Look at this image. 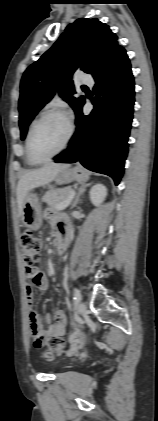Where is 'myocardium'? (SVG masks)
<instances>
[{
  "label": "myocardium",
  "mask_w": 158,
  "mask_h": 421,
  "mask_svg": "<svg viewBox=\"0 0 158 421\" xmlns=\"http://www.w3.org/2000/svg\"><path fill=\"white\" fill-rule=\"evenodd\" d=\"M50 115H60V116L64 117L67 121V124H68V133H67L65 141L63 142L61 147L55 153H53L51 156H49L45 159H38L32 151V137H33V134H34V131H35L36 127L40 124V122ZM73 134H74V125H73L72 120L70 119L69 115L65 111H63L62 109H59V108H51V109L45 110L33 122V124L31 125V127L29 129V132H28L27 152H28V155H29L30 159L36 164H44V163H47V162L51 161L54 157L59 155L61 152H63L67 148V146L69 145V143H70V141L73 137Z\"/></svg>",
  "instance_id": "myocardium-1"
}]
</instances>
